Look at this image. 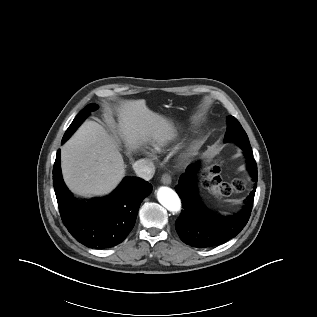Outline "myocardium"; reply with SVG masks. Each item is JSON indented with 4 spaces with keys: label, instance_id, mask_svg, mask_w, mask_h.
Returning a JSON list of instances; mask_svg holds the SVG:
<instances>
[{
    "label": "myocardium",
    "instance_id": "1",
    "mask_svg": "<svg viewBox=\"0 0 317 317\" xmlns=\"http://www.w3.org/2000/svg\"><path fill=\"white\" fill-rule=\"evenodd\" d=\"M186 154H187V155L190 154V151H188Z\"/></svg>",
    "mask_w": 317,
    "mask_h": 317
}]
</instances>
